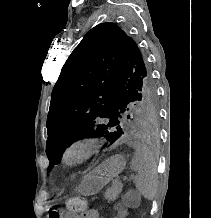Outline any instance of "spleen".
Here are the masks:
<instances>
[{"mask_svg":"<svg viewBox=\"0 0 211 218\" xmlns=\"http://www.w3.org/2000/svg\"><path fill=\"white\" fill-rule=\"evenodd\" d=\"M132 170L137 172L134 184L141 196L154 200L158 190L157 162L150 150H136L131 162Z\"/></svg>","mask_w":211,"mask_h":218,"instance_id":"3e777b00","label":"spleen"}]
</instances>
